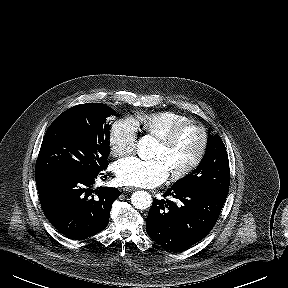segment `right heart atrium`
Listing matches in <instances>:
<instances>
[{"mask_svg": "<svg viewBox=\"0 0 288 288\" xmlns=\"http://www.w3.org/2000/svg\"><path fill=\"white\" fill-rule=\"evenodd\" d=\"M137 141V126L133 119L124 118L116 121L109 133V145L115 156L131 153Z\"/></svg>", "mask_w": 288, "mask_h": 288, "instance_id": "d8ad5b80", "label": "right heart atrium"}]
</instances>
